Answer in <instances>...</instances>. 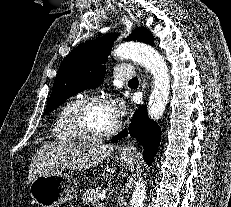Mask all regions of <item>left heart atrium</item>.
Here are the masks:
<instances>
[{"instance_id": "1", "label": "left heart atrium", "mask_w": 231, "mask_h": 207, "mask_svg": "<svg viewBox=\"0 0 231 207\" xmlns=\"http://www.w3.org/2000/svg\"><path fill=\"white\" fill-rule=\"evenodd\" d=\"M109 110L115 119H118L123 114L124 105L119 99H113L107 103Z\"/></svg>"}]
</instances>
